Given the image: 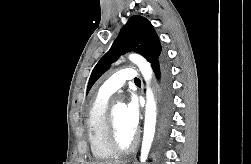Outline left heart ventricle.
<instances>
[{
    "mask_svg": "<svg viewBox=\"0 0 251 164\" xmlns=\"http://www.w3.org/2000/svg\"><path fill=\"white\" fill-rule=\"evenodd\" d=\"M113 113L117 126L118 139L122 145H128L134 133L127 127L124 117V106L117 105L113 108Z\"/></svg>",
    "mask_w": 251,
    "mask_h": 164,
    "instance_id": "obj_1",
    "label": "left heart ventricle"
}]
</instances>
